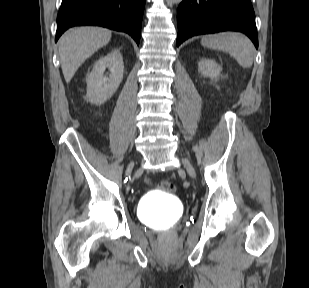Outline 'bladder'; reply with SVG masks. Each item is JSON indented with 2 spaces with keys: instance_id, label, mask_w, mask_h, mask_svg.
<instances>
[{
  "instance_id": "31cf9c89",
  "label": "bladder",
  "mask_w": 309,
  "mask_h": 288,
  "mask_svg": "<svg viewBox=\"0 0 309 288\" xmlns=\"http://www.w3.org/2000/svg\"><path fill=\"white\" fill-rule=\"evenodd\" d=\"M139 218L152 227L173 225L181 217L182 210L173 194L169 192L148 193L138 203Z\"/></svg>"
}]
</instances>
